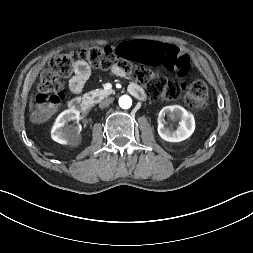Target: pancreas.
Wrapping results in <instances>:
<instances>
[{
    "mask_svg": "<svg viewBox=\"0 0 253 253\" xmlns=\"http://www.w3.org/2000/svg\"><path fill=\"white\" fill-rule=\"evenodd\" d=\"M112 92V90L96 89L87 93V95L91 96L92 99L98 98L97 100H101L110 95Z\"/></svg>",
    "mask_w": 253,
    "mask_h": 253,
    "instance_id": "pancreas-1",
    "label": "pancreas"
}]
</instances>
